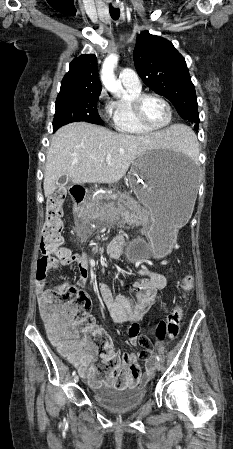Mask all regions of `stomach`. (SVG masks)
Wrapping results in <instances>:
<instances>
[{
	"instance_id": "1",
	"label": "stomach",
	"mask_w": 233,
	"mask_h": 449,
	"mask_svg": "<svg viewBox=\"0 0 233 449\" xmlns=\"http://www.w3.org/2000/svg\"><path fill=\"white\" fill-rule=\"evenodd\" d=\"M130 188L147 208V244L142 238L130 246L135 258L149 247L167 251L174 243L175 230L190 219L197 199V172L187 158L146 151L136 158L129 172Z\"/></svg>"
}]
</instances>
